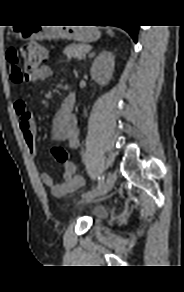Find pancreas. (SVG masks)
Instances as JSON below:
<instances>
[{
    "label": "pancreas",
    "mask_w": 184,
    "mask_h": 292,
    "mask_svg": "<svg viewBox=\"0 0 184 292\" xmlns=\"http://www.w3.org/2000/svg\"><path fill=\"white\" fill-rule=\"evenodd\" d=\"M87 49H89V46L86 44H76V43H72L70 45H68L63 53L64 55H66L67 57H84Z\"/></svg>",
    "instance_id": "cf45deb5"
}]
</instances>
